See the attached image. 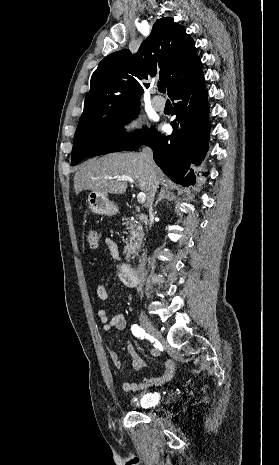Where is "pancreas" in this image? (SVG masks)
I'll return each mask as SVG.
<instances>
[{"instance_id":"1","label":"pancreas","mask_w":279,"mask_h":465,"mask_svg":"<svg viewBox=\"0 0 279 465\" xmlns=\"http://www.w3.org/2000/svg\"><path fill=\"white\" fill-rule=\"evenodd\" d=\"M122 221L129 230V241L126 242L124 253L127 257H131L137 252L142 244V240L144 238L143 227L139 222L132 221L130 218L124 217Z\"/></svg>"}]
</instances>
